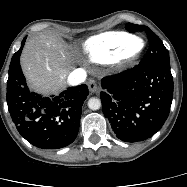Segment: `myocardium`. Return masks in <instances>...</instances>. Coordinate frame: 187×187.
<instances>
[{
    "instance_id": "1",
    "label": "myocardium",
    "mask_w": 187,
    "mask_h": 187,
    "mask_svg": "<svg viewBox=\"0 0 187 187\" xmlns=\"http://www.w3.org/2000/svg\"><path fill=\"white\" fill-rule=\"evenodd\" d=\"M143 50V43H141L135 50L134 52L129 56V57H133L136 58L139 56V54L142 52Z\"/></svg>"
}]
</instances>
